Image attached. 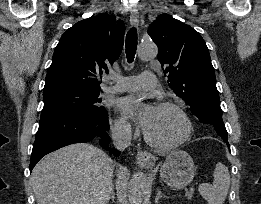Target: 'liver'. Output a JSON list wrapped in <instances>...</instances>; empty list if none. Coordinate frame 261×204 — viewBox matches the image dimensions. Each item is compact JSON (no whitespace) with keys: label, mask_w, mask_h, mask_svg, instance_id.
Segmentation results:
<instances>
[{"label":"liver","mask_w":261,"mask_h":204,"mask_svg":"<svg viewBox=\"0 0 261 204\" xmlns=\"http://www.w3.org/2000/svg\"><path fill=\"white\" fill-rule=\"evenodd\" d=\"M113 171L112 159L94 145L76 143L60 148L32 171L37 204H107Z\"/></svg>","instance_id":"obj_1"}]
</instances>
